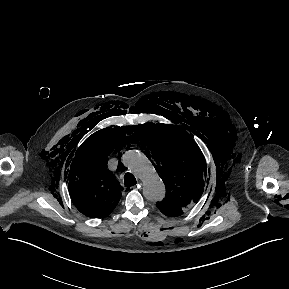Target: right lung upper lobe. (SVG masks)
Returning a JSON list of instances; mask_svg holds the SVG:
<instances>
[{"label":"right lung upper lobe","mask_w":289,"mask_h":289,"mask_svg":"<svg viewBox=\"0 0 289 289\" xmlns=\"http://www.w3.org/2000/svg\"><path fill=\"white\" fill-rule=\"evenodd\" d=\"M125 127L100 130L77 152L69 171V193L77 209L87 217L109 215L121 198L123 188L107 169L108 156L127 143ZM104 131V132H103Z\"/></svg>","instance_id":"obj_1"}]
</instances>
